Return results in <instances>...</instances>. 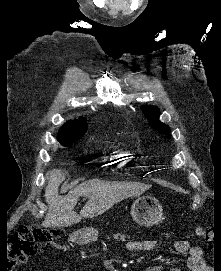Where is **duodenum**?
Wrapping results in <instances>:
<instances>
[{"instance_id": "duodenum-1", "label": "duodenum", "mask_w": 221, "mask_h": 271, "mask_svg": "<svg viewBox=\"0 0 221 271\" xmlns=\"http://www.w3.org/2000/svg\"><path fill=\"white\" fill-rule=\"evenodd\" d=\"M73 241L77 244H84L86 243L87 239L83 235H77L73 238Z\"/></svg>"}]
</instances>
